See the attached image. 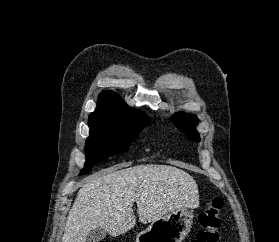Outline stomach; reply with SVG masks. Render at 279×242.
I'll use <instances>...</instances> for the list:
<instances>
[{"mask_svg": "<svg viewBox=\"0 0 279 242\" xmlns=\"http://www.w3.org/2000/svg\"><path fill=\"white\" fill-rule=\"evenodd\" d=\"M193 211L180 208L153 221L137 235V242H182L191 231Z\"/></svg>", "mask_w": 279, "mask_h": 242, "instance_id": "obj_1", "label": "stomach"}]
</instances>
